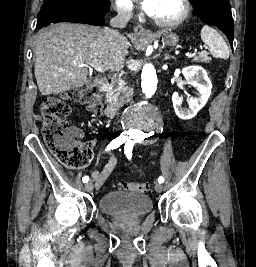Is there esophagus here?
Segmentation results:
<instances>
[{"instance_id": "1", "label": "esophagus", "mask_w": 256, "mask_h": 267, "mask_svg": "<svg viewBox=\"0 0 256 267\" xmlns=\"http://www.w3.org/2000/svg\"><path fill=\"white\" fill-rule=\"evenodd\" d=\"M134 34L135 35H143V36H152L151 32H148L147 30H145L144 27L140 24L135 25Z\"/></svg>"}]
</instances>
